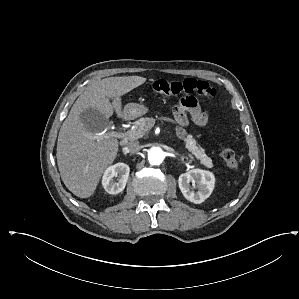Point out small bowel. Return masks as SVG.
I'll use <instances>...</instances> for the list:
<instances>
[{
  "label": "small bowel",
  "instance_id": "c3829d8e",
  "mask_svg": "<svg viewBox=\"0 0 299 299\" xmlns=\"http://www.w3.org/2000/svg\"><path fill=\"white\" fill-rule=\"evenodd\" d=\"M188 114H190L193 121L200 126L207 124L209 113L194 97H184L173 108V116L178 125L176 134L180 139L186 137L184 127L188 124Z\"/></svg>",
  "mask_w": 299,
  "mask_h": 299
}]
</instances>
